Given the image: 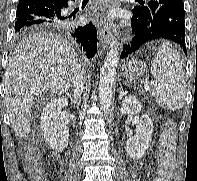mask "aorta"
I'll list each match as a JSON object with an SVG mask.
<instances>
[{
    "instance_id": "aorta-1",
    "label": "aorta",
    "mask_w": 197,
    "mask_h": 181,
    "mask_svg": "<svg viewBox=\"0 0 197 181\" xmlns=\"http://www.w3.org/2000/svg\"><path fill=\"white\" fill-rule=\"evenodd\" d=\"M119 60L117 47H111L101 69L99 81V97L101 109L107 116L110 112L113 97V84Z\"/></svg>"
}]
</instances>
